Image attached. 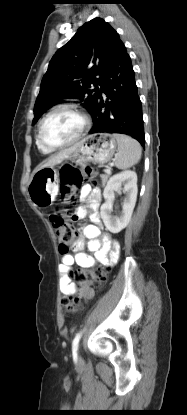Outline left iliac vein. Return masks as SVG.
I'll return each instance as SVG.
<instances>
[{"label":"left iliac vein","mask_w":187,"mask_h":415,"mask_svg":"<svg viewBox=\"0 0 187 415\" xmlns=\"http://www.w3.org/2000/svg\"><path fill=\"white\" fill-rule=\"evenodd\" d=\"M82 362V358L79 356L78 357V363H81Z\"/></svg>","instance_id":"4c4485c4"}]
</instances>
